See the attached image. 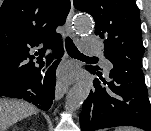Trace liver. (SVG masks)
<instances>
[{
  "label": "liver",
  "mask_w": 151,
  "mask_h": 131,
  "mask_svg": "<svg viewBox=\"0 0 151 131\" xmlns=\"http://www.w3.org/2000/svg\"><path fill=\"white\" fill-rule=\"evenodd\" d=\"M35 113L37 109L27 102L0 99V131Z\"/></svg>",
  "instance_id": "obj_1"
}]
</instances>
